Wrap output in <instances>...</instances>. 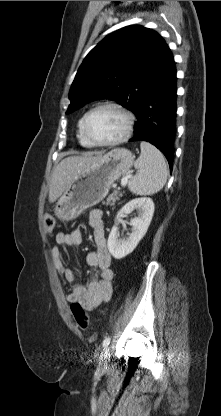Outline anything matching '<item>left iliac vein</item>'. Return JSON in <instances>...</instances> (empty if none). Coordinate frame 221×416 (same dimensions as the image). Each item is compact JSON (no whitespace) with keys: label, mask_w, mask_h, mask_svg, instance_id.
Here are the masks:
<instances>
[{"label":"left iliac vein","mask_w":221,"mask_h":416,"mask_svg":"<svg viewBox=\"0 0 221 416\" xmlns=\"http://www.w3.org/2000/svg\"><path fill=\"white\" fill-rule=\"evenodd\" d=\"M107 353H108V349L106 348L104 355L101 357L99 366L103 367L105 365V362H106L105 361V354L107 355Z\"/></svg>","instance_id":"1"}]
</instances>
